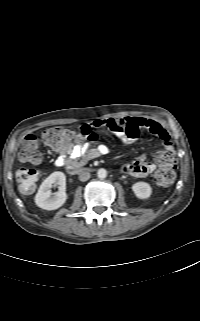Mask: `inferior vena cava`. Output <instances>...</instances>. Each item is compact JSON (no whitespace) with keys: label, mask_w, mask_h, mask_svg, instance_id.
Instances as JSON below:
<instances>
[{"label":"inferior vena cava","mask_w":200,"mask_h":321,"mask_svg":"<svg viewBox=\"0 0 200 321\" xmlns=\"http://www.w3.org/2000/svg\"><path fill=\"white\" fill-rule=\"evenodd\" d=\"M90 178V173L88 171H82L79 174V180L84 182L87 181Z\"/></svg>","instance_id":"1"}]
</instances>
